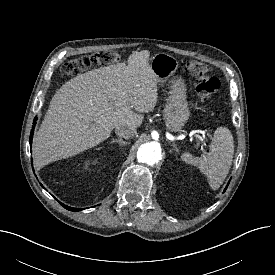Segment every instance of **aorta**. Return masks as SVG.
<instances>
[{
  "mask_svg": "<svg viewBox=\"0 0 275 275\" xmlns=\"http://www.w3.org/2000/svg\"><path fill=\"white\" fill-rule=\"evenodd\" d=\"M161 159V148L155 142H149L141 145L137 151V160L139 163L154 165Z\"/></svg>",
  "mask_w": 275,
  "mask_h": 275,
  "instance_id": "obj_1",
  "label": "aorta"
}]
</instances>
